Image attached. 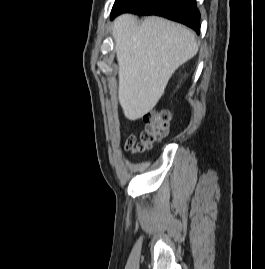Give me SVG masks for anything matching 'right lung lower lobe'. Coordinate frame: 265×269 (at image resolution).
Segmentation results:
<instances>
[{
	"label": "right lung lower lobe",
	"instance_id": "1",
	"mask_svg": "<svg viewBox=\"0 0 265 269\" xmlns=\"http://www.w3.org/2000/svg\"><path fill=\"white\" fill-rule=\"evenodd\" d=\"M124 12L158 15L185 24L197 33L200 30V13L196 0H116L111 19Z\"/></svg>",
	"mask_w": 265,
	"mask_h": 269
}]
</instances>
